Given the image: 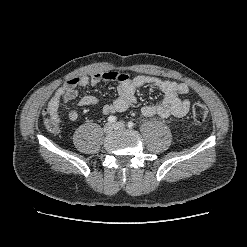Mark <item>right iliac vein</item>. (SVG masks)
<instances>
[{
    "label": "right iliac vein",
    "instance_id": "1",
    "mask_svg": "<svg viewBox=\"0 0 247 247\" xmlns=\"http://www.w3.org/2000/svg\"><path fill=\"white\" fill-rule=\"evenodd\" d=\"M113 130V125L111 123H106L104 125V132L110 133Z\"/></svg>",
    "mask_w": 247,
    "mask_h": 247
}]
</instances>
